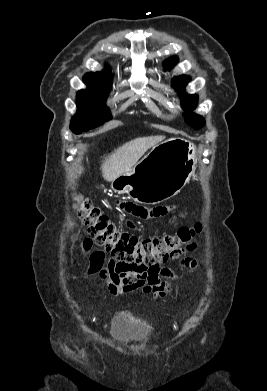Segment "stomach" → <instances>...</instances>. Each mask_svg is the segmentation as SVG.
<instances>
[{"mask_svg": "<svg viewBox=\"0 0 267 391\" xmlns=\"http://www.w3.org/2000/svg\"><path fill=\"white\" fill-rule=\"evenodd\" d=\"M197 164L195 146L182 138L155 147L134 168L116 178L111 188L142 204H157L175 195L189 182Z\"/></svg>", "mask_w": 267, "mask_h": 391, "instance_id": "stomach-1", "label": "stomach"}]
</instances>
